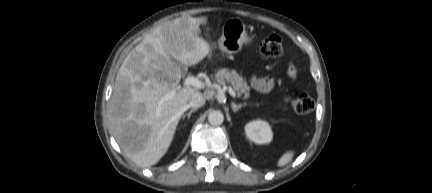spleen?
Returning a JSON list of instances; mask_svg holds the SVG:
<instances>
[{"instance_id":"1","label":"spleen","mask_w":432,"mask_h":193,"mask_svg":"<svg viewBox=\"0 0 432 193\" xmlns=\"http://www.w3.org/2000/svg\"><path fill=\"white\" fill-rule=\"evenodd\" d=\"M294 157V151L293 150H289L286 151L278 160L277 162V166L278 167H283L285 165H287L288 163H290L292 161Z\"/></svg>"}]
</instances>
